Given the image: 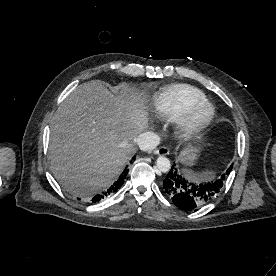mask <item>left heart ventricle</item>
Returning a JSON list of instances; mask_svg holds the SVG:
<instances>
[{
  "label": "left heart ventricle",
  "mask_w": 276,
  "mask_h": 276,
  "mask_svg": "<svg viewBox=\"0 0 276 276\" xmlns=\"http://www.w3.org/2000/svg\"><path fill=\"white\" fill-rule=\"evenodd\" d=\"M208 112H209L208 109H201L200 111H198L196 113V118L198 120H201V119L205 118L208 115Z\"/></svg>",
  "instance_id": "left-heart-ventricle-1"
}]
</instances>
